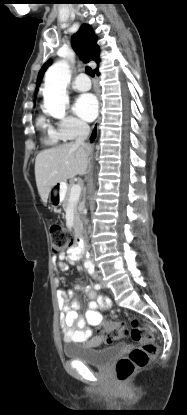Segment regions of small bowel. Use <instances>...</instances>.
I'll return each instance as SVG.
<instances>
[{"instance_id": "1", "label": "small bowel", "mask_w": 187, "mask_h": 415, "mask_svg": "<svg viewBox=\"0 0 187 415\" xmlns=\"http://www.w3.org/2000/svg\"><path fill=\"white\" fill-rule=\"evenodd\" d=\"M71 258L70 254H61L55 258L59 270L67 271L68 264L66 259ZM76 289L83 290L89 298V305L86 311L85 319L78 317L76 310L79 308L77 296L73 290L68 293L58 291L57 301L61 311L60 325L63 341L67 344H79L87 348H97L102 337L94 335L92 327L99 326L103 316L100 309H107L111 302L110 299L98 296L96 291L90 287L76 286Z\"/></svg>"}]
</instances>
